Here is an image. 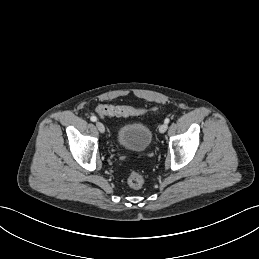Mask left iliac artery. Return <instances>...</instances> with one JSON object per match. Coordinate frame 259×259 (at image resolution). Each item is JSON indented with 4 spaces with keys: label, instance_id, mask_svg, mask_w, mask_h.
<instances>
[{
    "label": "left iliac artery",
    "instance_id": "1",
    "mask_svg": "<svg viewBox=\"0 0 259 259\" xmlns=\"http://www.w3.org/2000/svg\"><path fill=\"white\" fill-rule=\"evenodd\" d=\"M169 121H170L169 118H166L164 122H165L166 124H168Z\"/></svg>",
    "mask_w": 259,
    "mask_h": 259
}]
</instances>
